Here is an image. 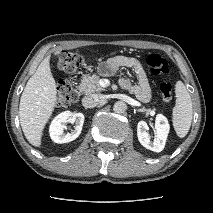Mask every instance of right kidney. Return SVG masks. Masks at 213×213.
<instances>
[{
  "mask_svg": "<svg viewBox=\"0 0 213 213\" xmlns=\"http://www.w3.org/2000/svg\"><path fill=\"white\" fill-rule=\"evenodd\" d=\"M67 122L75 124V129L71 133L64 134L65 124ZM83 123V113H72L70 111L62 112L51 122L49 128L50 137L55 143L71 142L80 135Z\"/></svg>",
  "mask_w": 213,
  "mask_h": 213,
  "instance_id": "obj_1",
  "label": "right kidney"
}]
</instances>
